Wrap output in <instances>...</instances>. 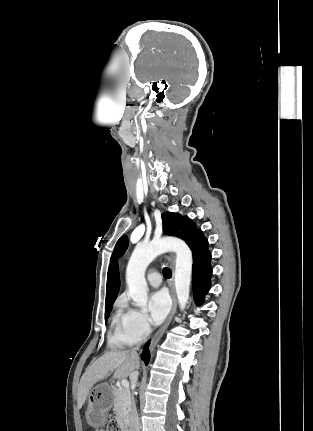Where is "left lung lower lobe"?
I'll list each match as a JSON object with an SVG mask.
<instances>
[{
  "mask_svg": "<svg viewBox=\"0 0 313 431\" xmlns=\"http://www.w3.org/2000/svg\"><path fill=\"white\" fill-rule=\"evenodd\" d=\"M193 254L192 287L196 304H201L204 295L210 289L211 253L208 250V240L200 230L189 245Z\"/></svg>",
  "mask_w": 313,
  "mask_h": 431,
  "instance_id": "left-lung-lower-lobe-1",
  "label": "left lung lower lobe"
}]
</instances>
